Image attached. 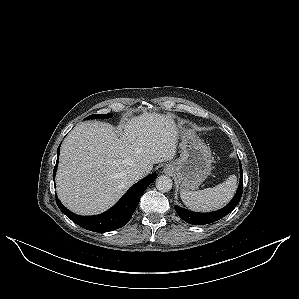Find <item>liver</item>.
Wrapping results in <instances>:
<instances>
[{"instance_id":"6515ba94","label":"liver","mask_w":299,"mask_h":299,"mask_svg":"<svg viewBox=\"0 0 299 299\" xmlns=\"http://www.w3.org/2000/svg\"><path fill=\"white\" fill-rule=\"evenodd\" d=\"M122 129L105 122H83L63 141L56 190L72 212L106 211L134 184L131 170L143 168L148 174L154 164L175 157L179 128L170 115L143 113Z\"/></svg>"}]
</instances>
